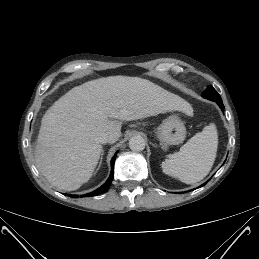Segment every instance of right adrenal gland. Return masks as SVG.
I'll list each match as a JSON object with an SVG mask.
<instances>
[{"label":"right adrenal gland","instance_id":"right-adrenal-gland-1","mask_svg":"<svg viewBox=\"0 0 259 259\" xmlns=\"http://www.w3.org/2000/svg\"><path fill=\"white\" fill-rule=\"evenodd\" d=\"M103 155H104V151H102V153H101V158H100V162H99L98 169H99V167L101 166L102 159H103ZM98 169H97V170H98Z\"/></svg>","mask_w":259,"mask_h":259}]
</instances>
